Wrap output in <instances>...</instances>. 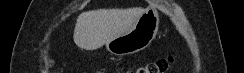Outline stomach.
Segmentation results:
<instances>
[{
  "label": "stomach",
  "mask_w": 244,
  "mask_h": 73,
  "mask_svg": "<svg viewBox=\"0 0 244 73\" xmlns=\"http://www.w3.org/2000/svg\"><path fill=\"white\" fill-rule=\"evenodd\" d=\"M158 28L159 14L156 9L149 7L128 31L106 42V49L116 56L142 51L155 39Z\"/></svg>",
  "instance_id": "1"
}]
</instances>
